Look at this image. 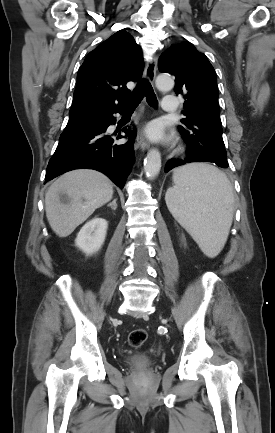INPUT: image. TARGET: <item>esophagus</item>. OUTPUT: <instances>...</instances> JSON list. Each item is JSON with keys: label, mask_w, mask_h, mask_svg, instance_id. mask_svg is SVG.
<instances>
[{"label": "esophagus", "mask_w": 275, "mask_h": 433, "mask_svg": "<svg viewBox=\"0 0 275 433\" xmlns=\"http://www.w3.org/2000/svg\"><path fill=\"white\" fill-rule=\"evenodd\" d=\"M157 63L158 58L156 56L152 57V59L146 63L144 70V78L150 83H154L157 71ZM137 144L142 150H146L150 147L149 142L147 141L142 132H140L137 136Z\"/></svg>", "instance_id": "obj_1"}]
</instances>
